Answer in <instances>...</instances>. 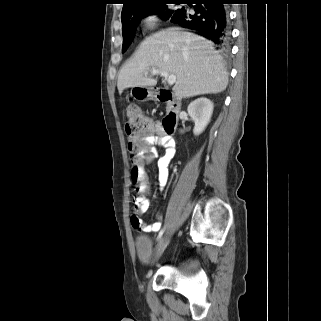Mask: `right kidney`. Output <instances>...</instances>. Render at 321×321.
I'll list each match as a JSON object with an SVG mask.
<instances>
[{
  "instance_id": "ca27d5eb",
  "label": "right kidney",
  "mask_w": 321,
  "mask_h": 321,
  "mask_svg": "<svg viewBox=\"0 0 321 321\" xmlns=\"http://www.w3.org/2000/svg\"><path fill=\"white\" fill-rule=\"evenodd\" d=\"M187 111L195 123L193 133L199 135L205 130L210 122L213 113V103L209 99L201 97L192 101L189 104Z\"/></svg>"
}]
</instances>
